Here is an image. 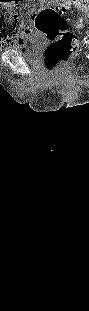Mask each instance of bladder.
<instances>
[{
	"instance_id": "bladder-1",
	"label": "bladder",
	"mask_w": 89,
	"mask_h": 311,
	"mask_svg": "<svg viewBox=\"0 0 89 311\" xmlns=\"http://www.w3.org/2000/svg\"><path fill=\"white\" fill-rule=\"evenodd\" d=\"M10 49L17 52L25 61H36L42 52L43 43L37 38L27 37L20 43H14Z\"/></svg>"
}]
</instances>
